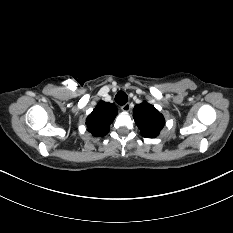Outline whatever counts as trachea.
I'll use <instances>...</instances> for the list:
<instances>
[{
    "instance_id": "3493384b",
    "label": "trachea",
    "mask_w": 233,
    "mask_h": 233,
    "mask_svg": "<svg viewBox=\"0 0 233 233\" xmlns=\"http://www.w3.org/2000/svg\"><path fill=\"white\" fill-rule=\"evenodd\" d=\"M115 101L118 105H124L128 101V96L125 92L119 91L115 96Z\"/></svg>"
}]
</instances>
